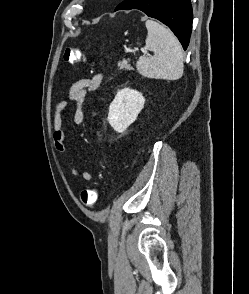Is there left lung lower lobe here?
Instances as JSON below:
<instances>
[{
    "instance_id": "obj_1",
    "label": "left lung lower lobe",
    "mask_w": 249,
    "mask_h": 294,
    "mask_svg": "<svg viewBox=\"0 0 249 294\" xmlns=\"http://www.w3.org/2000/svg\"><path fill=\"white\" fill-rule=\"evenodd\" d=\"M139 9L167 25L178 37L184 50L189 44L192 29L190 0H125L117 10Z\"/></svg>"
}]
</instances>
